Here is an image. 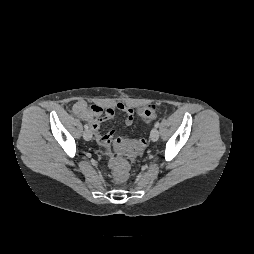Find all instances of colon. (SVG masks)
<instances>
[{
	"mask_svg": "<svg viewBox=\"0 0 254 254\" xmlns=\"http://www.w3.org/2000/svg\"><path fill=\"white\" fill-rule=\"evenodd\" d=\"M160 110L159 105L149 104L138 108L136 112L143 119H153L159 114ZM119 145L123 151L136 155L146 146V141L144 139L120 140ZM116 174L121 179L126 177V173L122 167L117 169Z\"/></svg>",
	"mask_w": 254,
	"mask_h": 254,
	"instance_id": "obj_1",
	"label": "colon"
}]
</instances>
